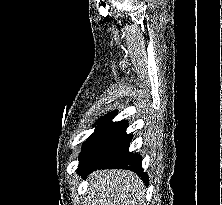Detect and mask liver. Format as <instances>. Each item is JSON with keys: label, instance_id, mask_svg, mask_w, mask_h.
<instances>
[{"label": "liver", "instance_id": "obj_1", "mask_svg": "<svg viewBox=\"0 0 222 205\" xmlns=\"http://www.w3.org/2000/svg\"><path fill=\"white\" fill-rule=\"evenodd\" d=\"M145 186L127 170H97L89 176L88 205H145Z\"/></svg>", "mask_w": 222, "mask_h": 205}]
</instances>
